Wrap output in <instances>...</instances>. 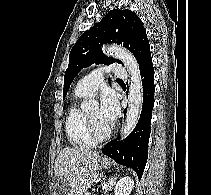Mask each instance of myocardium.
Instances as JSON below:
<instances>
[{
  "mask_svg": "<svg viewBox=\"0 0 211 195\" xmlns=\"http://www.w3.org/2000/svg\"><path fill=\"white\" fill-rule=\"evenodd\" d=\"M85 121H86L88 134L94 142H102L110 137V135L112 133V128L109 127L103 133L97 132V130L95 129V127L93 125V122L91 121V119L87 113H85Z\"/></svg>",
  "mask_w": 211,
  "mask_h": 195,
  "instance_id": "obj_1",
  "label": "myocardium"
}]
</instances>
